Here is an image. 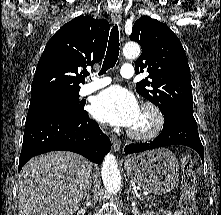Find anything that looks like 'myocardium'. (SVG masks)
Segmentation results:
<instances>
[{
	"label": "myocardium",
	"mask_w": 221,
	"mask_h": 215,
	"mask_svg": "<svg viewBox=\"0 0 221 215\" xmlns=\"http://www.w3.org/2000/svg\"><path fill=\"white\" fill-rule=\"evenodd\" d=\"M140 111L147 113L151 117V125L143 131L129 128L127 134L130 138L138 141L151 140L157 137L163 130L165 119L160 108L153 102H144Z\"/></svg>",
	"instance_id": "myocardium-1"
}]
</instances>
